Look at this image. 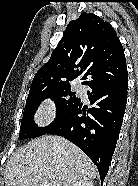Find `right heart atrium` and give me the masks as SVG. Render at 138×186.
<instances>
[{"mask_svg": "<svg viewBox=\"0 0 138 186\" xmlns=\"http://www.w3.org/2000/svg\"><path fill=\"white\" fill-rule=\"evenodd\" d=\"M37 120L46 125L54 120L56 116V105L52 99L45 100L37 110Z\"/></svg>", "mask_w": 138, "mask_h": 186, "instance_id": "right-heart-atrium-1", "label": "right heart atrium"}]
</instances>
